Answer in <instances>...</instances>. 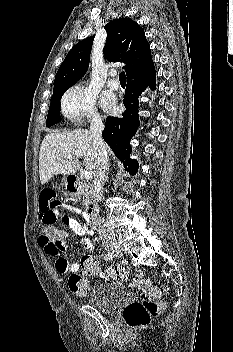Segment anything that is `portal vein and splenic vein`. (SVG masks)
<instances>
[{
  "label": "portal vein and splenic vein",
  "mask_w": 233,
  "mask_h": 352,
  "mask_svg": "<svg viewBox=\"0 0 233 352\" xmlns=\"http://www.w3.org/2000/svg\"><path fill=\"white\" fill-rule=\"evenodd\" d=\"M67 159L72 160V161L74 160V158L71 156H68ZM83 175H84L85 179H87V180L92 178V174L89 171H84Z\"/></svg>",
  "instance_id": "18ae733b"
}]
</instances>
